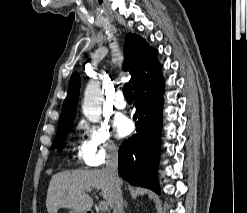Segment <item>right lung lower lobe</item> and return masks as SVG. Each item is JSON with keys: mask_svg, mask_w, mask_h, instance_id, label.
Masks as SVG:
<instances>
[{"mask_svg": "<svg viewBox=\"0 0 247 213\" xmlns=\"http://www.w3.org/2000/svg\"><path fill=\"white\" fill-rule=\"evenodd\" d=\"M137 133L119 149L118 172L130 184L160 192L159 165L164 78L161 71L134 89Z\"/></svg>", "mask_w": 247, "mask_h": 213, "instance_id": "right-lung-lower-lobe-1", "label": "right lung lower lobe"}]
</instances>
